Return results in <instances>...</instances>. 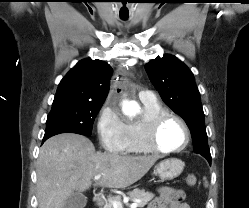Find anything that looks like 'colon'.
I'll use <instances>...</instances> for the list:
<instances>
[{"label": "colon", "instance_id": "1", "mask_svg": "<svg viewBox=\"0 0 249 208\" xmlns=\"http://www.w3.org/2000/svg\"><path fill=\"white\" fill-rule=\"evenodd\" d=\"M186 182L189 186H194L197 182L196 176L195 175H188L186 177Z\"/></svg>", "mask_w": 249, "mask_h": 208}]
</instances>
